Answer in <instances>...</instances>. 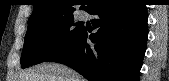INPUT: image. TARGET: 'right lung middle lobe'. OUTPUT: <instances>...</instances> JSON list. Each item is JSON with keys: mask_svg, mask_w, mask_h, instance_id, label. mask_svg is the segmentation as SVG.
<instances>
[{"mask_svg": "<svg viewBox=\"0 0 169 81\" xmlns=\"http://www.w3.org/2000/svg\"><path fill=\"white\" fill-rule=\"evenodd\" d=\"M82 29V26L74 23L73 15L48 18L28 24L20 59L21 67L26 68L44 62L75 39Z\"/></svg>", "mask_w": 169, "mask_h": 81, "instance_id": "1", "label": "right lung middle lobe"}]
</instances>
